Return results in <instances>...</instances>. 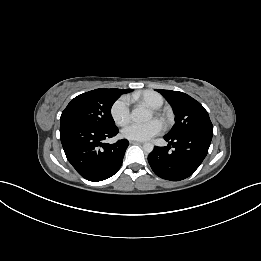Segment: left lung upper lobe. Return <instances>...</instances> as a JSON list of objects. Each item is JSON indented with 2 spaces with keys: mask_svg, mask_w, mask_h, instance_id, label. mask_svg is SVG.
Wrapping results in <instances>:
<instances>
[{
  "mask_svg": "<svg viewBox=\"0 0 261 261\" xmlns=\"http://www.w3.org/2000/svg\"><path fill=\"white\" fill-rule=\"evenodd\" d=\"M157 91L168 100L175 113V124L167 136L193 132L213 133L208 112L198 101L179 91Z\"/></svg>",
  "mask_w": 261,
  "mask_h": 261,
  "instance_id": "1",
  "label": "left lung upper lobe"
}]
</instances>
